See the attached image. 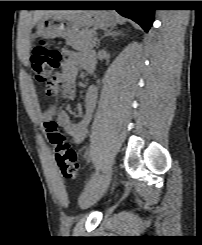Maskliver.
I'll return each mask as SVG.
<instances>
[{
    "mask_svg": "<svg viewBox=\"0 0 202 245\" xmlns=\"http://www.w3.org/2000/svg\"><path fill=\"white\" fill-rule=\"evenodd\" d=\"M84 12L85 11H82V10H55V11L38 10L34 13L33 25H35L43 16L49 13L61 14V15H75V14H81Z\"/></svg>",
    "mask_w": 202,
    "mask_h": 245,
    "instance_id": "obj_1",
    "label": "liver"
}]
</instances>
